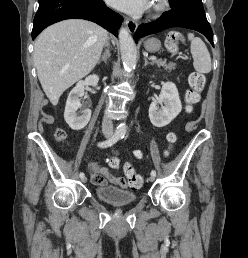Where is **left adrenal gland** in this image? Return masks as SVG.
I'll list each match as a JSON object with an SVG mask.
<instances>
[{"label":"left adrenal gland","instance_id":"left-adrenal-gland-1","mask_svg":"<svg viewBox=\"0 0 248 258\" xmlns=\"http://www.w3.org/2000/svg\"><path fill=\"white\" fill-rule=\"evenodd\" d=\"M148 64H152V63H149L148 60H147V58L144 57V66H147Z\"/></svg>","mask_w":248,"mask_h":258}]
</instances>
